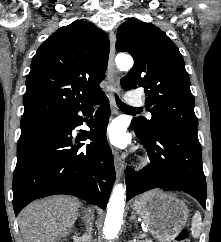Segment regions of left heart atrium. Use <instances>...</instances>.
Instances as JSON below:
<instances>
[{"mask_svg":"<svg viewBox=\"0 0 221 242\" xmlns=\"http://www.w3.org/2000/svg\"><path fill=\"white\" fill-rule=\"evenodd\" d=\"M106 137L112 145L119 148H124L130 141L129 135L126 133L123 124L118 121L108 126Z\"/></svg>","mask_w":221,"mask_h":242,"instance_id":"obj_1","label":"left heart atrium"}]
</instances>
